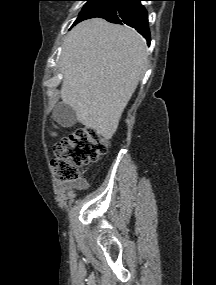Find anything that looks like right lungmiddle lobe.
Listing matches in <instances>:
<instances>
[{"label": "right lung middle lobe", "mask_w": 216, "mask_h": 285, "mask_svg": "<svg viewBox=\"0 0 216 285\" xmlns=\"http://www.w3.org/2000/svg\"><path fill=\"white\" fill-rule=\"evenodd\" d=\"M85 1H87V3L83 7L82 11L80 12L74 24L82 20L95 17L96 15L102 13L103 11L115 5L119 0H85Z\"/></svg>", "instance_id": "1"}]
</instances>
